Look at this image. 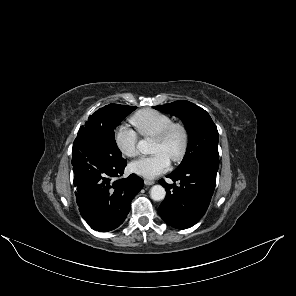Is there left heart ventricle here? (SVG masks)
<instances>
[{
  "label": "left heart ventricle",
  "mask_w": 296,
  "mask_h": 296,
  "mask_svg": "<svg viewBox=\"0 0 296 296\" xmlns=\"http://www.w3.org/2000/svg\"><path fill=\"white\" fill-rule=\"evenodd\" d=\"M179 145L180 135L178 133H174L166 144L155 140L152 152L157 153L162 151L166 153L170 158H172V156L177 152Z\"/></svg>",
  "instance_id": "left-heart-ventricle-1"
}]
</instances>
